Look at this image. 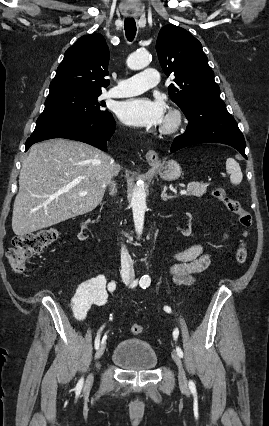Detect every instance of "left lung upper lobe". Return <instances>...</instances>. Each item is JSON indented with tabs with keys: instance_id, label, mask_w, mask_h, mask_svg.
<instances>
[{
	"instance_id": "obj_1",
	"label": "left lung upper lobe",
	"mask_w": 269,
	"mask_h": 426,
	"mask_svg": "<svg viewBox=\"0 0 269 426\" xmlns=\"http://www.w3.org/2000/svg\"><path fill=\"white\" fill-rule=\"evenodd\" d=\"M156 50L167 77L175 76L169 95L184 113L198 103L223 102L202 45L187 30L173 24L162 27Z\"/></svg>"
}]
</instances>
